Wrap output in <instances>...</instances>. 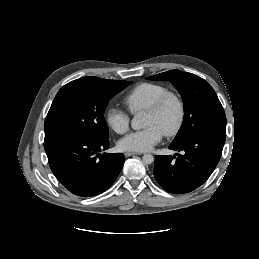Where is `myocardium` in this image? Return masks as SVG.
Instances as JSON below:
<instances>
[{"label":"myocardium","instance_id":"obj_1","mask_svg":"<svg viewBox=\"0 0 259 259\" xmlns=\"http://www.w3.org/2000/svg\"><path fill=\"white\" fill-rule=\"evenodd\" d=\"M169 102H173L175 104L177 109V117L174 124L164 131L166 136L175 135L183 125L185 107L181 97L174 92L168 91L164 93L150 108L147 109L148 113L156 115L161 113Z\"/></svg>","mask_w":259,"mask_h":259}]
</instances>
